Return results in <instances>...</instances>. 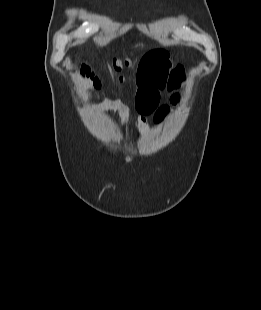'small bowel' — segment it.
<instances>
[{
  "instance_id": "1",
  "label": "small bowel",
  "mask_w": 261,
  "mask_h": 310,
  "mask_svg": "<svg viewBox=\"0 0 261 310\" xmlns=\"http://www.w3.org/2000/svg\"><path fill=\"white\" fill-rule=\"evenodd\" d=\"M184 78L181 66H174L170 56L165 52H152L147 54L141 61L139 69V81L137 92V108L141 114L142 131L149 132L147 115L157 107L160 92L167 90L175 92L180 88ZM175 93L171 103L178 102ZM106 106L115 110L125 111L126 106L117 99H107ZM169 111V107H163L156 113V121L162 119Z\"/></svg>"
}]
</instances>
